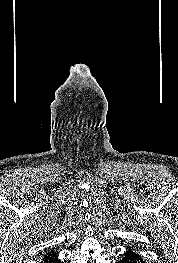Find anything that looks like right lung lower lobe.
I'll list each match as a JSON object with an SVG mask.
<instances>
[{
  "instance_id": "right-lung-lower-lobe-1",
  "label": "right lung lower lobe",
  "mask_w": 178,
  "mask_h": 263,
  "mask_svg": "<svg viewBox=\"0 0 178 263\" xmlns=\"http://www.w3.org/2000/svg\"><path fill=\"white\" fill-rule=\"evenodd\" d=\"M41 263H61V261L58 259V254L52 252L50 254L45 255Z\"/></svg>"
}]
</instances>
